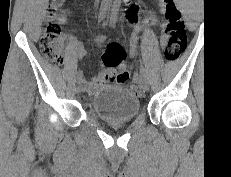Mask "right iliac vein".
<instances>
[{"mask_svg":"<svg viewBox=\"0 0 231 177\" xmlns=\"http://www.w3.org/2000/svg\"><path fill=\"white\" fill-rule=\"evenodd\" d=\"M85 89V85L83 84V81L78 82V85L76 87L77 92H82Z\"/></svg>","mask_w":231,"mask_h":177,"instance_id":"obj_1","label":"right iliac vein"}]
</instances>
